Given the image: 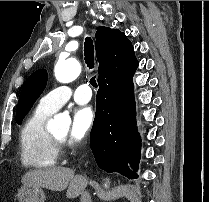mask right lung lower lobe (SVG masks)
Here are the masks:
<instances>
[{"mask_svg": "<svg viewBox=\"0 0 209 202\" xmlns=\"http://www.w3.org/2000/svg\"><path fill=\"white\" fill-rule=\"evenodd\" d=\"M91 149L101 169L137 178L127 165L136 170L140 159L132 81L114 88L99 85Z\"/></svg>", "mask_w": 209, "mask_h": 202, "instance_id": "1", "label": "right lung lower lobe"}]
</instances>
